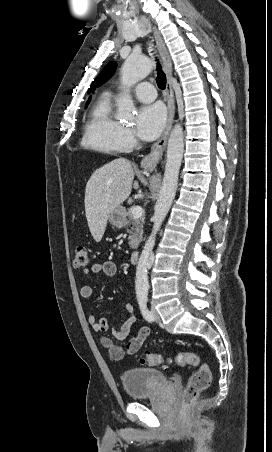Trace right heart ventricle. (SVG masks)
Segmentation results:
<instances>
[{
    "label": "right heart ventricle",
    "instance_id": "obj_1",
    "mask_svg": "<svg viewBox=\"0 0 272 452\" xmlns=\"http://www.w3.org/2000/svg\"><path fill=\"white\" fill-rule=\"evenodd\" d=\"M122 125L111 113L110 96L104 94L91 109L85 122L81 145L84 148L108 154L125 151Z\"/></svg>",
    "mask_w": 272,
    "mask_h": 452
}]
</instances>
